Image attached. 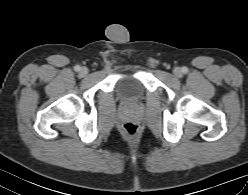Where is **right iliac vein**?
I'll return each mask as SVG.
<instances>
[{
	"instance_id": "obj_1",
	"label": "right iliac vein",
	"mask_w": 248,
	"mask_h": 195,
	"mask_svg": "<svg viewBox=\"0 0 248 195\" xmlns=\"http://www.w3.org/2000/svg\"><path fill=\"white\" fill-rule=\"evenodd\" d=\"M88 69L86 68V67H83V68H81V70H80V73H81V75H83V76H86L87 74H88Z\"/></svg>"
}]
</instances>
